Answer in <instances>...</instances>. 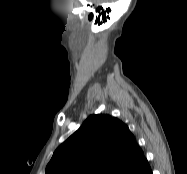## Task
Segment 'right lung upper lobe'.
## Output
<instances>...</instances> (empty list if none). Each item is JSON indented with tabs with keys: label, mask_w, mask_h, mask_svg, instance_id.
<instances>
[{
	"label": "right lung upper lobe",
	"mask_w": 187,
	"mask_h": 174,
	"mask_svg": "<svg viewBox=\"0 0 187 174\" xmlns=\"http://www.w3.org/2000/svg\"><path fill=\"white\" fill-rule=\"evenodd\" d=\"M149 164L127 125L91 115L54 152L46 174H146Z\"/></svg>",
	"instance_id": "right-lung-upper-lobe-1"
}]
</instances>
